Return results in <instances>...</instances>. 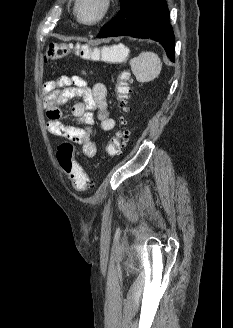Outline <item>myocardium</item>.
Returning <instances> with one entry per match:
<instances>
[{"label": "myocardium", "mask_w": 233, "mask_h": 328, "mask_svg": "<svg viewBox=\"0 0 233 328\" xmlns=\"http://www.w3.org/2000/svg\"><path fill=\"white\" fill-rule=\"evenodd\" d=\"M81 3L82 0H75L74 12L77 20L84 25H96L100 23L102 20L106 18L112 7V0H100L101 9L99 14L91 20H85L82 17Z\"/></svg>", "instance_id": "myocardium-1"}]
</instances>
